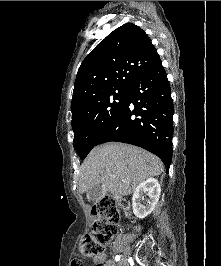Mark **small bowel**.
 <instances>
[{
    "instance_id": "obj_1",
    "label": "small bowel",
    "mask_w": 221,
    "mask_h": 266,
    "mask_svg": "<svg viewBox=\"0 0 221 266\" xmlns=\"http://www.w3.org/2000/svg\"><path fill=\"white\" fill-rule=\"evenodd\" d=\"M76 256H79V253H76ZM94 261L97 264H102L103 266H115L112 261H106V255L101 253L99 256L94 258ZM71 266H83V259L82 258H71L70 259Z\"/></svg>"
}]
</instances>
